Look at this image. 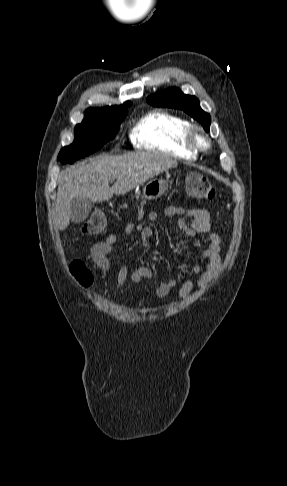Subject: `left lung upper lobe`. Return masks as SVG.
<instances>
[{"label":"left lung upper lobe","mask_w":287,"mask_h":486,"mask_svg":"<svg viewBox=\"0 0 287 486\" xmlns=\"http://www.w3.org/2000/svg\"><path fill=\"white\" fill-rule=\"evenodd\" d=\"M147 102L156 107L181 109L199 121L205 131H209L211 118L201 109L199 100L195 96L183 94L176 87L151 95L147 98Z\"/></svg>","instance_id":"obj_1"}]
</instances>
